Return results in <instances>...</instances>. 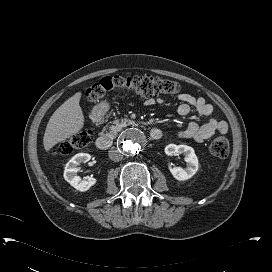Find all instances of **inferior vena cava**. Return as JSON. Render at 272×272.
Instances as JSON below:
<instances>
[{"mask_svg":"<svg viewBox=\"0 0 272 272\" xmlns=\"http://www.w3.org/2000/svg\"><path fill=\"white\" fill-rule=\"evenodd\" d=\"M109 158H110L112 161L118 162V161H121V160H122L123 155H122V153L120 152L119 149H117L116 147H112V148L109 150Z\"/></svg>","mask_w":272,"mask_h":272,"instance_id":"inferior-vena-cava-1","label":"inferior vena cava"}]
</instances>
